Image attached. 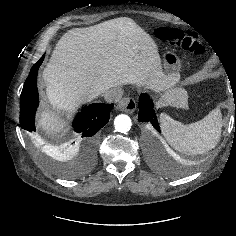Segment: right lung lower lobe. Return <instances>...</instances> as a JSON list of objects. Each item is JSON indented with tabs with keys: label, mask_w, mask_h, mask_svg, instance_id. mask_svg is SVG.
<instances>
[{
	"label": "right lung lower lobe",
	"mask_w": 236,
	"mask_h": 236,
	"mask_svg": "<svg viewBox=\"0 0 236 236\" xmlns=\"http://www.w3.org/2000/svg\"><path fill=\"white\" fill-rule=\"evenodd\" d=\"M44 55L36 62L25 81L20 96V126L26 131H35V113L39 104L37 90V74ZM113 104H90L76 116L72 126L75 131L73 138L65 146L67 152L80 149L87 159L94 156L96 133L109 121ZM42 144L41 140H36Z\"/></svg>",
	"instance_id": "obj_1"
}]
</instances>
